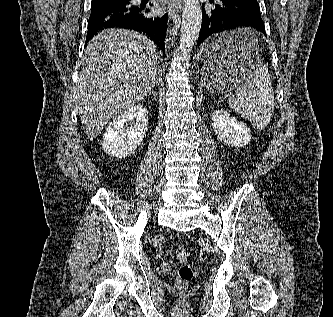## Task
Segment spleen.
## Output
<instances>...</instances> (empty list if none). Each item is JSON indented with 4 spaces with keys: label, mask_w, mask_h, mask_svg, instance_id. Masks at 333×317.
Here are the masks:
<instances>
[{
    "label": "spleen",
    "mask_w": 333,
    "mask_h": 317,
    "mask_svg": "<svg viewBox=\"0 0 333 317\" xmlns=\"http://www.w3.org/2000/svg\"><path fill=\"white\" fill-rule=\"evenodd\" d=\"M231 43L247 48L258 45L254 33L247 28L230 32ZM229 106L240 116L246 118L256 130L269 124L274 112V91L265 65L259 62L255 70L237 87L235 95L229 99Z\"/></svg>",
    "instance_id": "3e777b00"
}]
</instances>
